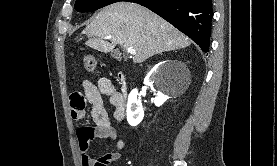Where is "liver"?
I'll return each mask as SVG.
<instances>
[{"label":"liver","instance_id":"liver-1","mask_svg":"<svg viewBox=\"0 0 277 166\" xmlns=\"http://www.w3.org/2000/svg\"><path fill=\"white\" fill-rule=\"evenodd\" d=\"M86 46L108 53L115 45L134 49V63L167 51L186 48L190 39L173 25L147 8L130 2H118L102 8L84 30ZM107 36H110L107 41Z\"/></svg>","mask_w":277,"mask_h":166}]
</instances>
